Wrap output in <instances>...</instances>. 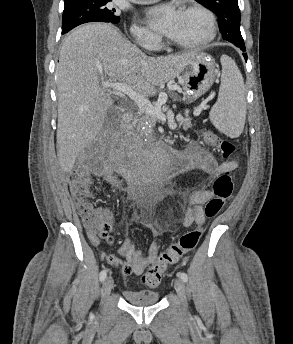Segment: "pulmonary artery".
Segmentation results:
<instances>
[{"label": "pulmonary artery", "mask_w": 293, "mask_h": 344, "mask_svg": "<svg viewBox=\"0 0 293 344\" xmlns=\"http://www.w3.org/2000/svg\"><path fill=\"white\" fill-rule=\"evenodd\" d=\"M132 2L138 3V4H147V3H151L157 0H131Z\"/></svg>", "instance_id": "obj_1"}]
</instances>
